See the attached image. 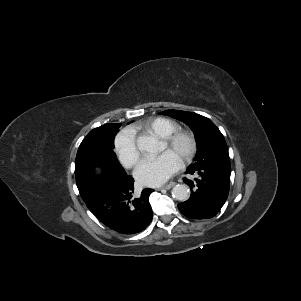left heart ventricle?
I'll return each instance as SVG.
<instances>
[{
    "mask_svg": "<svg viewBox=\"0 0 301 301\" xmlns=\"http://www.w3.org/2000/svg\"><path fill=\"white\" fill-rule=\"evenodd\" d=\"M187 148H188V144L186 141H183L179 145H177L175 147H171V148L168 147L165 143H162L160 151L161 152H171L181 160L182 155L187 150Z\"/></svg>",
    "mask_w": 301,
    "mask_h": 301,
    "instance_id": "1",
    "label": "left heart ventricle"
}]
</instances>
